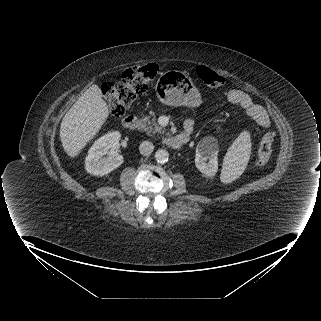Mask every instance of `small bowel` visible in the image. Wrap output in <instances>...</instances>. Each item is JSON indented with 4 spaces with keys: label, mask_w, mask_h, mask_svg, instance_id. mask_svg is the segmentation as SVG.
I'll return each mask as SVG.
<instances>
[{
    "label": "small bowel",
    "mask_w": 321,
    "mask_h": 321,
    "mask_svg": "<svg viewBox=\"0 0 321 321\" xmlns=\"http://www.w3.org/2000/svg\"><path fill=\"white\" fill-rule=\"evenodd\" d=\"M226 98L228 102L238 106L243 110V112L252 118L260 127L267 128L270 125V118L266 112V110L256 104L251 96L238 89H231L227 91ZM195 122L192 119H188L185 122V138H189V136L194 132Z\"/></svg>",
    "instance_id": "c3829d8e"
}]
</instances>
